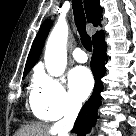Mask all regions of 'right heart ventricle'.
<instances>
[{"label": "right heart ventricle", "mask_w": 136, "mask_h": 136, "mask_svg": "<svg viewBox=\"0 0 136 136\" xmlns=\"http://www.w3.org/2000/svg\"><path fill=\"white\" fill-rule=\"evenodd\" d=\"M33 112H34V111H33ZM34 114H35L38 118L44 119L43 117H41L40 115L36 114L35 112H34Z\"/></svg>", "instance_id": "right-heart-ventricle-1"}]
</instances>
